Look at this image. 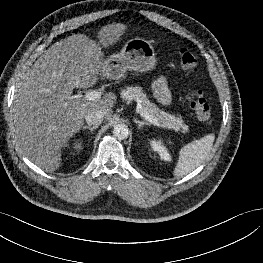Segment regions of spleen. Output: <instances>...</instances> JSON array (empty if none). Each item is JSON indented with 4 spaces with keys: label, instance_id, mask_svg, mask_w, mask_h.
Wrapping results in <instances>:
<instances>
[{
    "label": "spleen",
    "instance_id": "3e777b00",
    "mask_svg": "<svg viewBox=\"0 0 263 263\" xmlns=\"http://www.w3.org/2000/svg\"><path fill=\"white\" fill-rule=\"evenodd\" d=\"M214 140L215 135L208 134L182 147L174 168V175L183 177L200 166L210 153Z\"/></svg>",
    "mask_w": 263,
    "mask_h": 263
}]
</instances>
